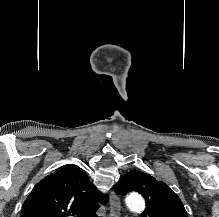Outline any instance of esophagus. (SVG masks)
I'll return each mask as SVG.
<instances>
[{
	"label": "esophagus",
	"mask_w": 219,
	"mask_h": 217,
	"mask_svg": "<svg viewBox=\"0 0 219 217\" xmlns=\"http://www.w3.org/2000/svg\"><path fill=\"white\" fill-rule=\"evenodd\" d=\"M110 207V216L111 217H120V209H121V203L119 197L115 194L114 191L110 194V201H109Z\"/></svg>",
	"instance_id": "1"
}]
</instances>
